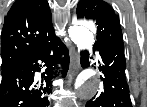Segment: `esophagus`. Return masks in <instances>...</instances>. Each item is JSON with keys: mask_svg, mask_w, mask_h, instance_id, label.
<instances>
[{"mask_svg": "<svg viewBox=\"0 0 147 107\" xmlns=\"http://www.w3.org/2000/svg\"><path fill=\"white\" fill-rule=\"evenodd\" d=\"M79 68H80L79 54L77 52H74V55L71 61V71L72 72L78 71Z\"/></svg>", "mask_w": 147, "mask_h": 107, "instance_id": "34e87169", "label": "esophagus"}]
</instances>
